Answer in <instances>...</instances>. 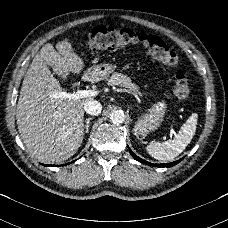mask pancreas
Wrapping results in <instances>:
<instances>
[{"mask_svg":"<svg viewBox=\"0 0 228 228\" xmlns=\"http://www.w3.org/2000/svg\"><path fill=\"white\" fill-rule=\"evenodd\" d=\"M111 86H119L128 89L130 92H136L138 87L133 84L132 81L123 74L115 73L108 82Z\"/></svg>","mask_w":228,"mask_h":228,"instance_id":"pancreas-1","label":"pancreas"}]
</instances>
